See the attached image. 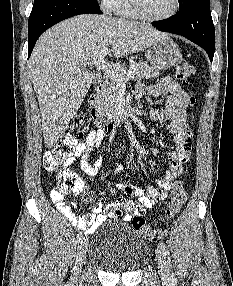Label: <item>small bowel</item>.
<instances>
[{
	"label": "small bowel",
	"mask_w": 233,
	"mask_h": 286,
	"mask_svg": "<svg viewBox=\"0 0 233 286\" xmlns=\"http://www.w3.org/2000/svg\"><path fill=\"white\" fill-rule=\"evenodd\" d=\"M145 93L154 98L168 95L163 108L150 110V118L157 122L167 121L169 123V132L174 138L175 147L167 153L168 167L163 177L157 180V186L141 188L125 182L116 184L119 191L134 198L123 203L124 207L133 213H143L145 209L151 208L154 203L167 197L173 181L182 173V165L189 160L192 152V132L187 123L188 93L181 88L178 82L169 77L162 78L155 85L139 84L137 94ZM104 137V129L89 132L85 139L77 144L74 156L68 159L65 165H72L76 158H79L80 168L86 175H97L103 165V159L96 149ZM117 169L121 170L122 166H118ZM73 193L81 196L90 205L92 211L80 217L77 216L74 213L76 204L65 201L66 191L61 188H56L51 192L52 202L75 228L85 229L88 234H91L107 220L111 205L104 200L94 201L86 188L81 192ZM131 218L130 214L124 217L126 221Z\"/></svg>",
	"instance_id": "obj_1"
}]
</instances>
